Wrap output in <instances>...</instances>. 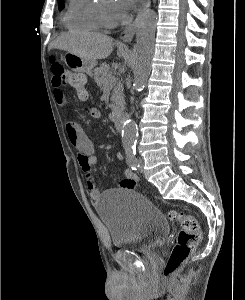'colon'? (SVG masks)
Returning <instances> with one entry per match:
<instances>
[{"label":"colon","mask_w":245,"mask_h":300,"mask_svg":"<svg viewBox=\"0 0 245 300\" xmlns=\"http://www.w3.org/2000/svg\"><path fill=\"white\" fill-rule=\"evenodd\" d=\"M51 71L55 77L60 79L63 85L70 86L80 100L87 99L86 81L82 74L69 70L56 61H52ZM168 216L172 221L180 223L181 230L177 242L163 267V275L166 278L177 272L202 238L201 227L194 216L176 210H170Z\"/></svg>","instance_id":"colon-1"}]
</instances>
